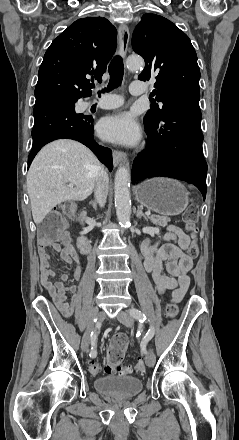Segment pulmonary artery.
Wrapping results in <instances>:
<instances>
[{
  "instance_id": "e3ab8cb5",
  "label": "pulmonary artery",
  "mask_w": 239,
  "mask_h": 440,
  "mask_svg": "<svg viewBox=\"0 0 239 440\" xmlns=\"http://www.w3.org/2000/svg\"><path fill=\"white\" fill-rule=\"evenodd\" d=\"M145 90H146V87L142 82H138V81L133 82L129 86V91L133 95H139V94L143 93ZM113 96L116 98L115 101L108 102V103H99L97 105V107L101 108V109H113V108L120 106L123 102L122 98L118 95H113ZM92 104L93 103L90 101L86 102L87 107H90Z\"/></svg>"
}]
</instances>
